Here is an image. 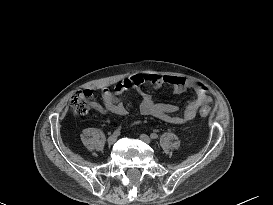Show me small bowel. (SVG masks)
I'll return each instance as SVG.
<instances>
[{"instance_id":"c3829d8e","label":"small bowel","mask_w":273,"mask_h":205,"mask_svg":"<svg viewBox=\"0 0 273 205\" xmlns=\"http://www.w3.org/2000/svg\"><path fill=\"white\" fill-rule=\"evenodd\" d=\"M146 83L156 88L163 85L171 86L177 95L192 90L196 98L188 101L179 113V107L172 103L156 102L144 90ZM129 88H133L139 93L141 97L140 111L143 115L154 116L173 124H183L191 121L199 108L212 103V97L208 88L201 83H195L179 76H159L155 74L143 76L134 74L116 84L113 89H103L101 93L103 105L95 104L94 109L103 114L110 112L117 115H126L128 113L127 108L119 100L118 96Z\"/></svg>"}]
</instances>
